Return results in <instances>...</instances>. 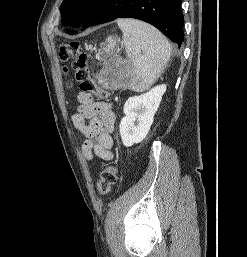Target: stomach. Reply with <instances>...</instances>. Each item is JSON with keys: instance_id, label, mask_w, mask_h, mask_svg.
<instances>
[{"instance_id": "0dacf381", "label": "stomach", "mask_w": 247, "mask_h": 257, "mask_svg": "<svg viewBox=\"0 0 247 257\" xmlns=\"http://www.w3.org/2000/svg\"><path fill=\"white\" fill-rule=\"evenodd\" d=\"M109 45L101 51V57L103 59L113 55L116 51V46L118 40L116 38L110 37L108 39ZM133 81V73L130 65H122L120 68V74L117 76L116 82L118 87H131V83Z\"/></svg>"}]
</instances>
